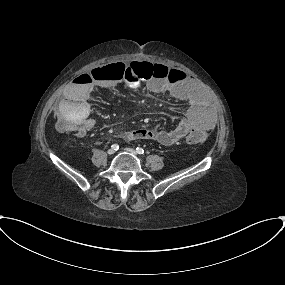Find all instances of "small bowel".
I'll return each instance as SVG.
<instances>
[{
    "label": "small bowel",
    "instance_id": "small-bowel-1",
    "mask_svg": "<svg viewBox=\"0 0 285 285\" xmlns=\"http://www.w3.org/2000/svg\"><path fill=\"white\" fill-rule=\"evenodd\" d=\"M108 67L93 69L92 71L98 70L104 75L101 79H93L89 84H82L74 79L67 86L65 97L57 105L56 114L58 116L67 115L73 119H79L78 135L89 132L96 125L95 119L87 118L90 111L88 99L96 87L112 88L124 78H128L125 81L132 89H137L141 85L138 78L128 71V67L124 66L122 76L117 71L108 70ZM145 86L154 93L168 92L175 100L184 102L186 116L172 129L134 130L120 134V139L125 141L154 140L164 146H170L184 138L192 130L207 132L214 126L212 112L207 106L205 93L191 77H185L181 81L172 83L150 80Z\"/></svg>",
    "mask_w": 285,
    "mask_h": 285
}]
</instances>
